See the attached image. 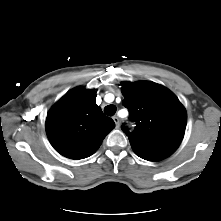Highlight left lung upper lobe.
Segmentation results:
<instances>
[{
	"mask_svg": "<svg viewBox=\"0 0 221 221\" xmlns=\"http://www.w3.org/2000/svg\"><path fill=\"white\" fill-rule=\"evenodd\" d=\"M122 104L129 110L136 129L129 137L136 155L148 161L170 156L180 145L187 114L178 98L166 87L150 81L122 83Z\"/></svg>",
	"mask_w": 221,
	"mask_h": 221,
	"instance_id": "obj_1",
	"label": "left lung upper lobe"
}]
</instances>
